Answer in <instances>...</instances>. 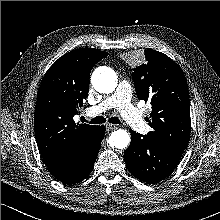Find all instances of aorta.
Segmentation results:
<instances>
[{"label": "aorta", "mask_w": 220, "mask_h": 220, "mask_svg": "<svg viewBox=\"0 0 220 220\" xmlns=\"http://www.w3.org/2000/svg\"><path fill=\"white\" fill-rule=\"evenodd\" d=\"M91 83L95 90L100 93H112L117 87V76L108 67L97 68L91 77ZM130 143V135L126 130L119 129L111 133L109 144L118 149H125Z\"/></svg>", "instance_id": "1"}]
</instances>
